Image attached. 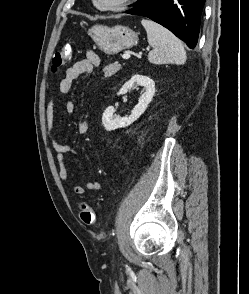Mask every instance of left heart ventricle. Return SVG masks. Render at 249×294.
<instances>
[{
    "instance_id": "left-heart-ventricle-1",
    "label": "left heart ventricle",
    "mask_w": 249,
    "mask_h": 294,
    "mask_svg": "<svg viewBox=\"0 0 249 294\" xmlns=\"http://www.w3.org/2000/svg\"><path fill=\"white\" fill-rule=\"evenodd\" d=\"M100 4L103 5H114L119 3L121 0H98Z\"/></svg>"
}]
</instances>
